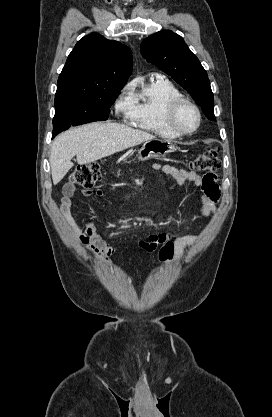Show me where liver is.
<instances>
[{"mask_svg": "<svg viewBox=\"0 0 272 417\" xmlns=\"http://www.w3.org/2000/svg\"><path fill=\"white\" fill-rule=\"evenodd\" d=\"M155 139V136L119 123H89L59 134L51 145L50 165L53 184H58L73 167L94 162L114 153Z\"/></svg>", "mask_w": 272, "mask_h": 417, "instance_id": "1", "label": "liver"}]
</instances>
